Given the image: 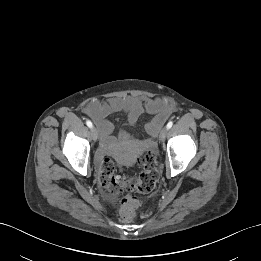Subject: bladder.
Listing matches in <instances>:
<instances>
[{
	"instance_id": "31cf9c89",
	"label": "bladder",
	"mask_w": 261,
	"mask_h": 261,
	"mask_svg": "<svg viewBox=\"0 0 261 261\" xmlns=\"http://www.w3.org/2000/svg\"><path fill=\"white\" fill-rule=\"evenodd\" d=\"M125 140H128V137H121L116 141L115 145L117 146L115 147V152H116V158L120 163L129 164L132 161V159L137 156L138 151L136 150L133 152V154L126 155V151L123 150L121 147V143L124 142Z\"/></svg>"
}]
</instances>
